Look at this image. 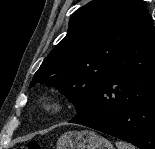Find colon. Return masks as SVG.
<instances>
[{
	"instance_id": "obj_1",
	"label": "colon",
	"mask_w": 155,
	"mask_h": 149,
	"mask_svg": "<svg viewBox=\"0 0 155 149\" xmlns=\"http://www.w3.org/2000/svg\"><path fill=\"white\" fill-rule=\"evenodd\" d=\"M18 149H42V146L37 141H30L26 145L18 147Z\"/></svg>"
}]
</instances>
